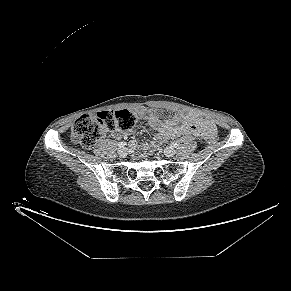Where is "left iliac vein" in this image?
Masks as SVG:
<instances>
[{
	"instance_id": "left-iliac-vein-1",
	"label": "left iliac vein",
	"mask_w": 291,
	"mask_h": 291,
	"mask_svg": "<svg viewBox=\"0 0 291 291\" xmlns=\"http://www.w3.org/2000/svg\"><path fill=\"white\" fill-rule=\"evenodd\" d=\"M164 154L167 157H173L176 154V150L174 148L168 147L164 149Z\"/></svg>"
}]
</instances>
